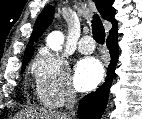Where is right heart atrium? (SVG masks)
Returning a JSON list of instances; mask_svg holds the SVG:
<instances>
[{
    "instance_id": "d8ad5b80",
    "label": "right heart atrium",
    "mask_w": 142,
    "mask_h": 119,
    "mask_svg": "<svg viewBox=\"0 0 142 119\" xmlns=\"http://www.w3.org/2000/svg\"><path fill=\"white\" fill-rule=\"evenodd\" d=\"M32 74L36 97L46 107H60L75 97L69 67L61 55L42 51L32 64Z\"/></svg>"
}]
</instances>
